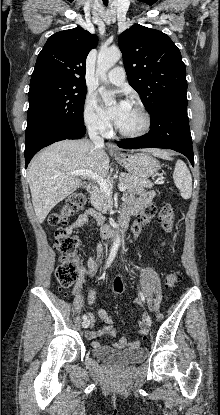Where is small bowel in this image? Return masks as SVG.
Listing matches in <instances>:
<instances>
[{
	"label": "small bowel",
	"instance_id": "obj_1",
	"mask_svg": "<svg viewBox=\"0 0 220 415\" xmlns=\"http://www.w3.org/2000/svg\"><path fill=\"white\" fill-rule=\"evenodd\" d=\"M154 193L152 191H146L143 190L140 193V196L138 198H134L133 191H127L124 197V203L122 208V213L128 212L130 215L137 216V220L133 222L131 226V234L133 237L139 236L152 217H144L142 212L144 207L147 205H150L153 202ZM90 218H94L97 222L100 224L103 223V216L95 209L88 208L85 210L82 214H80L76 220L71 224V226L68 228V231L72 233L78 232L81 228H83L88 222ZM103 258V246L100 242H97L96 248H95V254L90 256L88 258V268L86 271V274L91 276L95 273L98 266L100 265ZM126 282L124 279H117L113 284V292L115 293H121L125 288ZM82 287V280H80L74 290L75 294H78ZM95 289L90 288L87 292V301L89 305H92L95 300ZM98 317L106 324V326L101 330H89L85 333V336L89 340H93L98 336H101L103 334H108L111 337H115L119 334V330L112 327V320L110 316L107 314V312L103 309L98 310L97 312ZM91 319V327L93 328V315L90 314ZM139 333L142 335V340L146 338V335L148 333V329L146 327L145 322H140L139 326ZM142 340L138 339L132 342H128L127 338L125 336L120 337V339L114 343L113 347L115 349L121 350L124 348L128 349H136L139 348ZM93 347L101 346V344L97 341L92 342Z\"/></svg>",
	"mask_w": 220,
	"mask_h": 415
}]
</instances>
